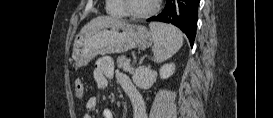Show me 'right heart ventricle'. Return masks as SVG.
<instances>
[{
    "mask_svg": "<svg viewBox=\"0 0 273 118\" xmlns=\"http://www.w3.org/2000/svg\"><path fill=\"white\" fill-rule=\"evenodd\" d=\"M105 9L107 13L114 16L126 15L122 0H107Z\"/></svg>",
    "mask_w": 273,
    "mask_h": 118,
    "instance_id": "right-heart-ventricle-1",
    "label": "right heart ventricle"
}]
</instances>
